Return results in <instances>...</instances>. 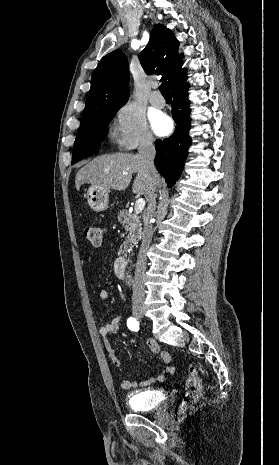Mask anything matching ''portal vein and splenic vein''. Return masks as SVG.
I'll list each match as a JSON object with an SVG mask.
<instances>
[{
    "label": "portal vein and splenic vein",
    "mask_w": 279,
    "mask_h": 465,
    "mask_svg": "<svg viewBox=\"0 0 279 465\" xmlns=\"http://www.w3.org/2000/svg\"><path fill=\"white\" fill-rule=\"evenodd\" d=\"M144 207H145V200L143 198H139L135 204V208H134L135 214H139L140 212H142Z\"/></svg>",
    "instance_id": "portal-vein-and-splenic-vein-1"
}]
</instances>
